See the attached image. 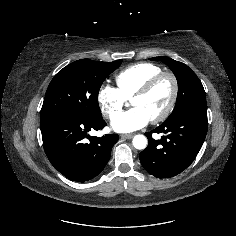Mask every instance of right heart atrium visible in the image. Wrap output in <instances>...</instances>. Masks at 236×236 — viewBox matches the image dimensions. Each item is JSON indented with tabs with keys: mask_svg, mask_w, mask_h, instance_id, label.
Here are the masks:
<instances>
[{
	"mask_svg": "<svg viewBox=\"0 0 236 236\" xmlns=\"http://www.w3.org/2000/svg\"><path fill=\"white\" fill-rule=\"evenodd\" d=\"M97 101L102 114L111 119L123 108L126 98L117 88L103 84L98 89Z\"/></svg>",
	"mask_w": 236,
	"mask_h": 236,
	"instance_id": "1",
	"label": "right heart atrium"
}]
</instances>
